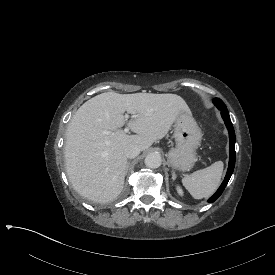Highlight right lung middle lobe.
Returning a JSON list of instances; mask_svg holds the SVG:
<instances>
[{
	"label": "right lung middle lobe",
	"instance_id": "right-lung-middle-lobe-1",
	"mask_svg": "<svg viewBox=\"0 0 275 275\" xmlns=\"http://www.w3.org/2000/svg\"><path fill=\"white\" fill-rule=\"evenodd\" d=\"M124 195H125V192H122L121 195L114 197V199H100V202H104V203L114 202V200H119L121 196H124ZM92 203H98V200H92Z\"/></svg>",
	"mask_w": 275,
	"mask_h": 275
}]
</instances>
